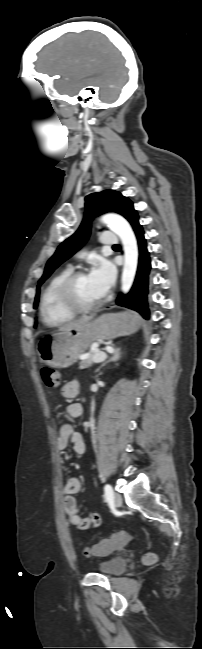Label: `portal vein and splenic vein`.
I'll return each mask as SVG.
<instances>
[{"instance_id": "obj_1", "label": "portal vein and splenic vein", "mask_w": 202, "mask_h": 649, "mask_svg": "<svg viewBox=\"0 0 202 649\" xmlns=\"http://www.w3.org/2000/svg\"><path fill=\"white\" fill-rule=\"evenodd\" d=\"M110 352H113V350L111 349ZM87 358H88L87 355L81 357L82 360L87 359ZM105 359H106V354H105V353H96V354L93 356V362H95V363H101V362H103Z\"/></svg>"}]
</instances>
